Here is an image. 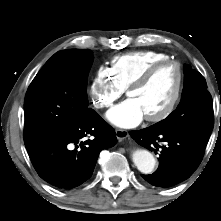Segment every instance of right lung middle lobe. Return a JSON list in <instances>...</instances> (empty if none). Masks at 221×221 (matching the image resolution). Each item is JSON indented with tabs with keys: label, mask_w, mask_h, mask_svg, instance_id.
Segmentation results:
<instances>
[{
	"label": "right lung middle lobe",
	"mask_w": 221,
	"mask_h": 221,
	"mask_svg": "<svg viewBox=\"0 0 221 221\" xmlns=\"http://www.w3.org/2000/svg\"><path fill=\"white\" fill-rule=\"evenodd\" d=\"M93 55L89 49L55 53L30 84L24 101V137L65 132L85 117L87 81Z\"/></svg>",
	"instance_id": "1"
}]
</instances>
